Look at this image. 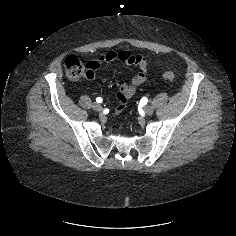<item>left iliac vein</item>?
Here are the masks:
<instances>
[{
    "label": "left iliac vein",
    "instance_id": "1",
    "mask_svg": "<svg viewBox=\"0 0 236 236\" xmlns=\"http://www.w3.org/2000/svg\"><path fill=\"white\" fill-rule=\"evenodd\" d=\"M143 109L147 115H151L154 112L153 107L150 105H145Z\"/></svg>",
    "mask_w": 236,
    "mask_h": 236
}]
</instances>
